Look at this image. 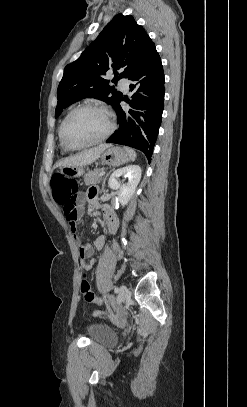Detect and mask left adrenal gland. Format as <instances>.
<instances>
[{"label": "left adrenal gland", "instance_id": "1", "mask_svg": "<svg viewBox=\"0 0 247 407\" xmlns=\"http://www.w3.org/2000/svg\"><path fill=\"white\" fill-rule=\"evenodd\" d=\"M108 175H109V173H108V174L105 176V178H104V180H103V182H102V188H101V191H104V188H105V182H106V179H107Z\"/></svg>", "mask_w": 247, "mask_h": 407}]
</instances>
